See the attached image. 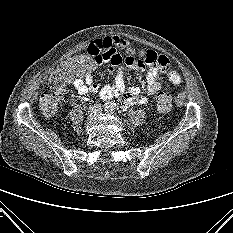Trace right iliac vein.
I'll use <instances>...</instances> for the list:
<instances>
[{"mask_svg": "<svg viewBox=\"0 0 233 233\" xmlns=\"http://www.w3.org/2000/svg\"><path fill=\"white\" fill-rule=\"evenodd\" d=\"M93 118H94V111L91 110L88 113L87 122H91Z\"/></svg>", "mask_w": 233, "mask_h": 233, "instance_id": "63e3f726", "label": "right iliac vein"}]
</instances>
